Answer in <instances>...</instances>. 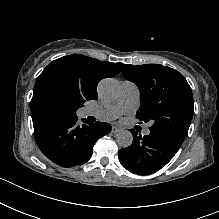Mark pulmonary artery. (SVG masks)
<instances>
[{
    "instance_id": "pulmonary-artery-1",
    "label": "pulmonary artery",
    "mask_w": 219,
    "mask_h": 219,
    "mask_svg": "<svg viewBox=\"0 0 219 219\" xmlns=\"http://www.w3.org/2000/svg\"><path fill=\"white\" fill-rule=\"evenodd\" d=\"M139 99V88L132 82L125 80L121 83V92L118 101L114 105L105 107L83 108L81 115L83 117L92 116L101 122H108L118 118L126 109L135 105ZM143 133L148 135L149 128H145Z\"/></svg>"
}]
</instances>
